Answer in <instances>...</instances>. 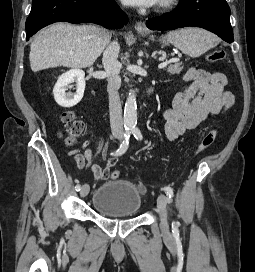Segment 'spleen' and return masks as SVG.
I'll return each mask as SVG.
<instances>
[{
    "label": "spleen",
    "mask_w": 255,
    "mask_h": 272,
    "mask_svg": "<svg viewBox=\"0 0 255 272\" xmlns=\"http://www.w3.org/2000/svg\"><path fill=\"white\" fill-rule=\"evenodd\" d=\"M167 40L190 57H199L218 43L212 33L200 28H184L169 31Z\"/></svg>",
    "instance_id": "3e777b00"
}]
</instances>
